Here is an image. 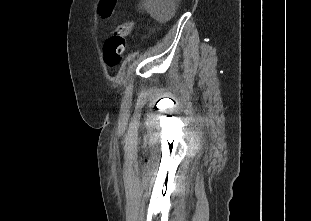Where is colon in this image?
<instances>
[{
  "instance_id": "1",
  "label": "colon",
  "mask_w": 311,
  "mask_h": 221,
  "mask_svg": "<svg viewBox=\"0 0 311 221\" xmlns=\"http://www.w3.org/2000/svg\"><path fill=\"white\" fill-rule=\"evenodd\" d=\"M117 0H103L102 6L97 7L96 16L101 20H108L116 9ZM133 20L122 22L115 30V33L110 36L104 43L103 57L109 67H116L121 60L122 53L125 48L126 32L131 31Z\"/></svg>"
}]
</instances>
